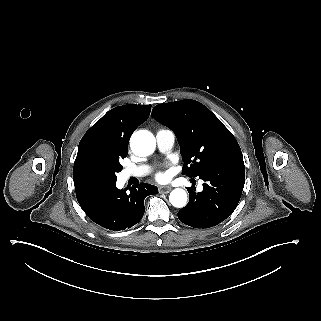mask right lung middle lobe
<instances>
[{
	"label": "right lung middle lobe",
	"mask_w": 321,
	"mask_h": 321,
	"mask_svg": "<svg viewBox=\"0 0 321 321\" xmlns=\"http://www.w3.org/2000/svg\"><path fill=\"white\" fill-rule=\"evenodd\" d=\"M128 154V148L115 149L100 138L86 141L80 148L75 162L84 175L108 180H117L116 173L123 167L120 160Z\"/></svg>",
	"instance_id": "right-lung-middle-lobe-1"
}]
</instances>
